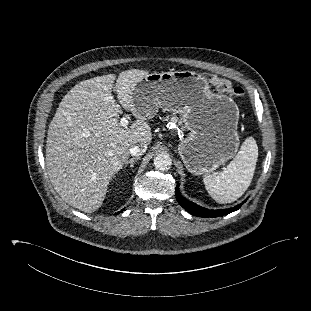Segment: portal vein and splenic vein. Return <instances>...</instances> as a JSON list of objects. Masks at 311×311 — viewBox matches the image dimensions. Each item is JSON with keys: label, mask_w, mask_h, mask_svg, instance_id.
<instances>
[{"label": "portal vein and splenic vein", "mask_w": 311, "mask_h": 311, "mask_svg": "<svg viewBox=\"0 0 311 311\" xmlns=\"http://www.w3.org/2000/svg\"><path fill=\"white\" fill-rule=\"evenodd\" d=\"M129 120L127 117H122L120 120V125L124 128H126L128 126Z\"/></svg>", "instance_id": "18ae733b"}]
</instances>
